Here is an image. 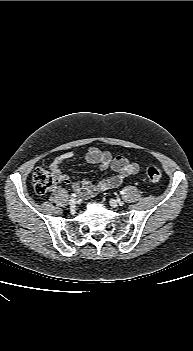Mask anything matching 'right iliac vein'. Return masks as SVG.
<instances>
[{
  "instance_id": "right-iliac-vein-1",
  "label": "right iliac vein",
  "mask_w": 193,
  "mask_h": 351,
  "mask_svg": "<svg viewBox=\"0 0 193 351\" xmlns=\"http://www.w3.org/2000/svg\"><path fill=\"white\" fill-rule=\"evenodd\" d=\"M76 204H77L76 199L72 198V199L69 200V205H70L72 208H74V207L76 206Z\"/></svg>"
}]
</instances>
